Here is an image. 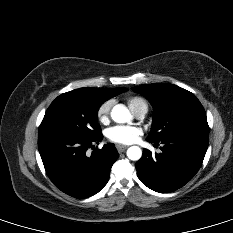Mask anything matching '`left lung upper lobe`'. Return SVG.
Masks as SVG:
<instances>
[{
  "label": "left lung upper lobe",
  "instance_id": "5c2ea615",
  "mask_svg": "<svg viewBox=\"0 0 233 233\" xmlns=\"http://www.w3.org/2000/svg\"><path fill=\"white\" fill-rule=\"evenodd\" d=\"M152 104L153 123L147 140L161 142L178 136H209L205 110L197 97L173 84H143L132 88Z\"/></svg>",
  "mask_w": 233,
  "mask_h": 233
}]
</instances>
